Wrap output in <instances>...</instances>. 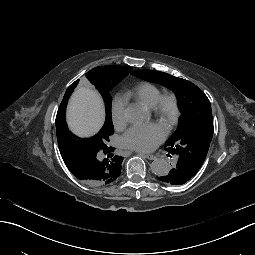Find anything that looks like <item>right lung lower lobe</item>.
<instances>
[{
	"instance_id": "obj_1",
	"label": "right lung lower lobe",
	"mask_w": 255,
	"mask_h": 255,
	"mask_svg": "<svg viewBox=\"0 0 255 255\" xmlns=\"http://www.w3.org/2000/svg\"><path fill=\"white\" fill-rule=\"evenodd\" d=\"M79 179L97 182L100 180V159L97 156L90 157L89 160L82 159L79 162Z\"/></svg>"
}]
</instances>
